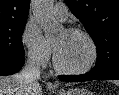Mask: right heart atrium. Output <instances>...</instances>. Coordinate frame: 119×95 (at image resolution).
I'll list each match as a JSON object with an SVG mask.
<instances>
[{
    "label": "right heart atrium",
    "instance_id": "1",
    "mask_svg": "<svg viewBox=\"0 0 119 95\" xmlns=\"http://www.w3.org/2000/svg\"><path fill=\"white\" fill-rule=\"evenodd\" d=\"M22 43L29 61L36 66L45 65L51 57V48L39 27L28 23L22 34Z\"/></svg>",
    "mask_w": 119,
    "mask_h": 95
}]
</instances>
